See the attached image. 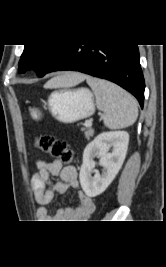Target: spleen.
Segmentation results:
<instances>
[{
    "label": "spleen",
    "instance_id": "obj_1",
    "mask_svg": "<svg viewBox=\"0 0 166 267\" xmlns=\"http://www.w3.org/2000/svg\"><path fill=\"white\" fill-rule=\"evenodd\" d=\"M96 96L97 108L104 112V125L119 129L132 125L138 116L137 101L128 92L109 81L88 77Z\"/></svg>",
    "mask_w": 166,
    "mask_h": 267
}]
</instances>
